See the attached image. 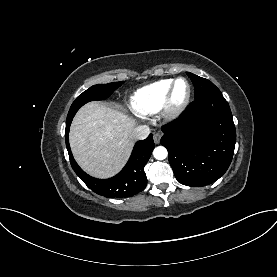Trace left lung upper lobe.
Returning <instances> with one entry per match:
<instances>
[{"label": "left lung upper lobe", "instance_id": "left-lung-upper-lobe-1", "mask_svg": "<svg viewBox=\"0 0 277 277\" xmlns=\"http://www.w3.org/2000/svg\"><path fill=\"white\" fill-rule=\"evenodd\" d=\"M195 87V99L210 95L219 94L220 90L209 80L187 72Z\"/></svg>", "mask_w": 277, "mask_h": 277}]
</instances>
